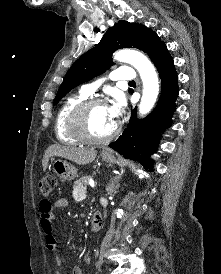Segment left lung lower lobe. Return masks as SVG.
Returning <instances> with one entry per match:
<instances>
[{"mask_svg":"<svg viewBox=\"0 0 221 274\" xmlns=\"http://www.w3.org/2000/svg\"><path fill=\"white\" fill-rule=\"evenodd\" d=\"M161 79V95L157 106L146 118L138 119L136 108L123 134L109 145L127 159L139 161L146 169L153 166L150 155L159 143L160 130L171 125V116L175 111L178 96V77L174 61L165 44L161 45L150 56Z\"/></svg>","mask_w":221,"mask_h":274,"instance_id":"1","label":"left lung lower lobe"}]
</instances>
